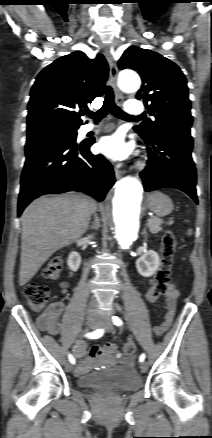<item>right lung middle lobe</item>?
<instances>
[{"mask_svg": "<svg viewBox=\"0 0 212 438\" xmlns=\"http://www.w3.org/2000/svg\"><path fill=\"white\" fill-rule=\"evenodd\" d=\"M53 129H61L65 134L71 135L73 137L77 136V129L78 127H71V126H47L42 128H37L33 130H27V134H33V133H39L47 130H53Z\"/></svg>", "mask_w": 212, "mask_h": 438, "instance_id": "1", "label": "right lung middle lobe"}]
</instances>
